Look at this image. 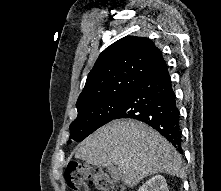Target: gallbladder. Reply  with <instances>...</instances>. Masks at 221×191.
Returning <instances> with one entry per match:
<instances>
[{"instance_id": "obj_1", "label": "gallbladder", "mask_w": 221, "mask_h": 191, "mask_svg": "<svg viewBox=\"0 0 221 191\" xmlns=\"http://www.w3.org/2000/svg\"><path fill=\"white\" fill-rule=\"evenodd\" d=\"M107 170L113 177L119 176L118 170L113 165L107 166Z\"/></svg>"}]
</instances>
